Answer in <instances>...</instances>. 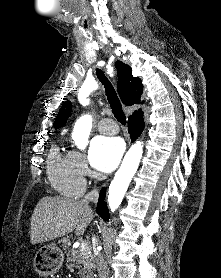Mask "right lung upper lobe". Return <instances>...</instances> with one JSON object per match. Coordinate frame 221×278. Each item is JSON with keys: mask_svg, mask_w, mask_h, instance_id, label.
<instances>
[{"mask_svg": "<svg viewBox=\"0 0 221 278\" xmlns=\"http://www.w3.org/2000/svg\"><path fill=\"white\" fill-rule=\"evenodd\" d=\"M116 68L118 74L117 90L122 102L125 105H134L139 103L140 96L143 92L141 80L138 77H133L131 68L121 61L116 62ZM70 114L71 102L67 101L63 104L56 116L54 123L55 129L63 126ZM136 116H143V112L139 109L130 115L129 118Z\"/></svg>", "mask_w": 221, "mask_h": 278, "instance_id": "cb5924a9", "label": "right lung upper lobe"}]
</instances>
